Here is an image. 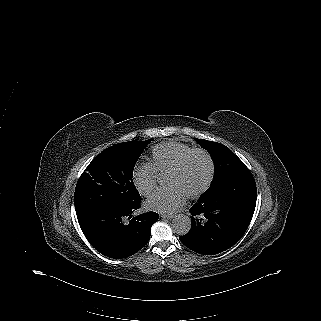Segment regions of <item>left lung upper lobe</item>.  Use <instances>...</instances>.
<instances>
[{
  "label": "left lung upper lobe",
  "instance_id": "left-lung-upper-lobe-1",
  "mask_svg": "<svg viewBox=\"0 0 321 321\" xmlns=\"http://www.w3.org/2000/svg\"><path fill=\"white\" fill-rule=\"evenodd\" d=\"M197 142L210 153L214 161V180L208 192L218 189L235 176L250 173L247 166L225 145L204 139H198Z\"/></svg>",
  "mask_w": 321,
  "mask_h": 321
}]
</instances>
